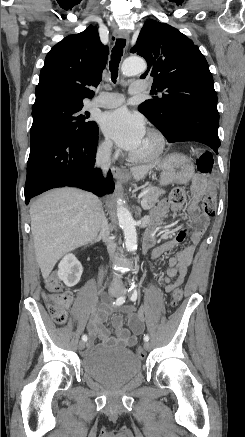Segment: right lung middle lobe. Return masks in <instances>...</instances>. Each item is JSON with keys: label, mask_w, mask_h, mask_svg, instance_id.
Here are the masks:
<instances>
[{"label": "right lung middle lobe", "mask_w": 245, "mask_h": 437, "mask_svg": "<svg viewBox=\"0 0 245 437\" xmlns=\"http://www.w3.org/2000/svg\"><path fill=\"white\" fill-rule=\"evenodd\" d=\"M83 104L51 102L32 107L33 124L31 142L47 131H57L67 137L85 136L98 126L88 120L89 114L82 113Z\"/></svg>", "instance_id": "right-lung-middle-lobe-1"}]
</instances>
